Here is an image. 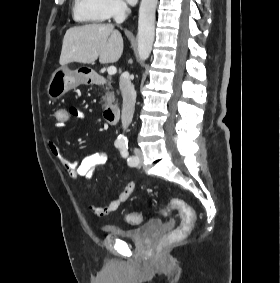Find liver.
Returning <instances> with one entry per match:
<instances>
[{"instance_id":"1","label":"liver","mask_w":280,"mask_h":283,"mask_svg":"<svg viewBox=\"0 0 280 283\" xmlns=\"http://www.w3.org/2000/svg\"><path fill=\"white\" fill-rule=\"evenodd\" d=\"M123 38L112 24H88L68 29L63 38L60 65L117 62L123 53Z\"/></svg>"}]
</instances>
